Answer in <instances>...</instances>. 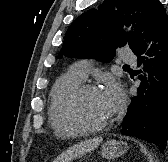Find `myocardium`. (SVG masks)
Returning a JSON list of instances; mask_svg holds the SVG:
<instances>
[{
	"mask_svg": "<svg viewBox=\"0 0 168 162\" xmlns=\"http://www.w3.org/2000/svg\"><path fill=\"white\" fill-rule=\"evenodd\" d=\"M88 92H100V89L93 84L81 83L72 89L65 97L63 102V112L71 123L82 129L84 132L104 130L112 124L111 119L101 124H90L80 114L79 101L82 96Z\"/></svg>",
	"mask_w": 168,
	"mask_h": 162,
	"instance_id": "1",
	"label": "myocardium"
}]
</instances>
